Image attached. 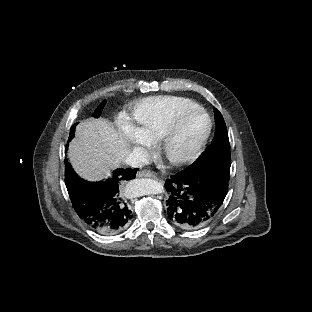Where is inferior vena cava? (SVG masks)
<instances>
[{
    "label": "inferior vena cava",
    "instance_id": "inferior-vena-cava-1",
    "mask_svg": "<svg viewBox=\"0 0 312 312\" xmlns=\"http://www.w3.org/2000/svg\"><path fill=\"white\" fill-rule=\"evenodd\" d=\"M123 161L131 167L140 168L149 164V157L142 148H134L132 153L124 157Z\"/></svg>",
    "mask_w": 312,
    "mask_h": 312
}]
</instances>
